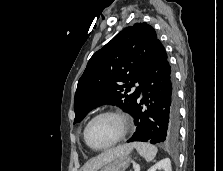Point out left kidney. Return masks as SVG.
I'll use <instances>...</instances> for the list:
<instances>
[{"instance_id": "1", "label": "left kidney", "mask_w": 223, "mask_h": 171, "mask_svg": "<svg viewBox=\"0 0 223 171\" xmlns=\"http://www.w3.org/2000/svg\"><path fill=\"white\" fill-rule=\"evenodd\" d=\"M172 171L171 170V161L169 158H165L163 160H160L155 165H153L151 168H149L147 171Z\"/></svg>"}]
</instances>
